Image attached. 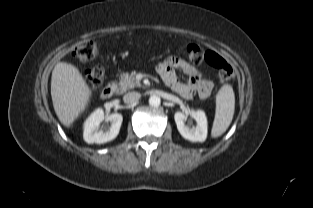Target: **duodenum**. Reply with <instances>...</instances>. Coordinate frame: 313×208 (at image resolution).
I'll list each match as a JSON object with an SVG mask.
<instances>
[{
    "label": "duodenum",
    "instance_id": "duodenum-1",
    "mask_svg": "<svg viewBox=\"0 0 313 208\" xmlns=\"http://www.w3.org/2000/svg\"><path fill=\"white\" fill-rule=\"evenodd\" d=\"M115 90H116V86L114 84H108L102 89L101 97L103 99H109L110 97H112Z\"/></svg>",
    "mask_w": 313,
    "mask_h": 208
}]
</instances>
